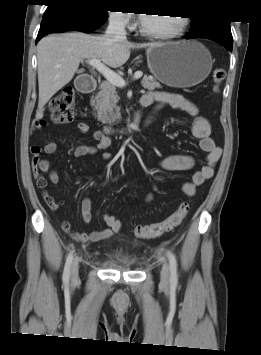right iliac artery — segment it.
Instances as JSON below:
<instances>
[{
  "label": "right iliac artery",
  "instance_id": "right-iliac-artery-1",
  "mask_svg": "<svg viewBox=\"0 0 261 355\" xmlns=\"http://www.w3.org/2000/svg\"><path fill=\"white\" fill-rule=\"evenodd\" d=\"M72 260H73V253L70 252L67 256L65 267H64V273H63V282L65 284L69 283L70 268H71Z\"/></svg>",
  "mask_w": 261,
  "mask_h": 355
}]
</instances>
